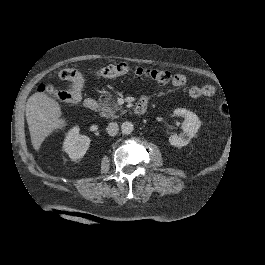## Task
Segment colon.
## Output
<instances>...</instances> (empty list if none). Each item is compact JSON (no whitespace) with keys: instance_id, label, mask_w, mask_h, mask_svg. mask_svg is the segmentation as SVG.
<instances>
[{"instance_id":"1","label":"colon","mask_w":265,"mask_h":265,"mask_svg":"<svg viewBox=\"0 0 265 265\" xmlns=\"http://www.w3.org/2000/svg\"><path fill=\"white\" fill-rule=\"evenodd\" d=\"M98 76L104 78H113L121 75L132 74L138 78L151 80L159 84H166L171 80V74L166 70L151 69V68H133L126 63H118L99 68L94 71ZM58 77L61 80L71 82V87L68 89H58L51 85H40L39 92H46L62 101L75 103L81 99L82 89L84 86V78L82 74L73 68H64L58 72ZM226 106L221 107V112L225 113Z\"/></svg>"}]
</instances>
